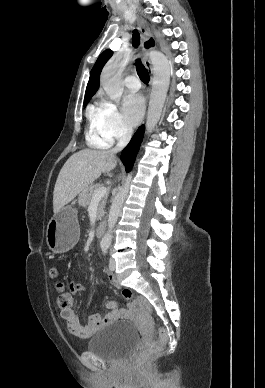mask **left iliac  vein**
I'll return each instance as SVG.
<instances>
[{"mask_svg": "<svg viewBox=\"0 0 265 388\" xmlns=\"http://www.w3.org/2000/svg\"><path fill=\"white\" fill-rule=\"evenodd\" d=\"M109 269L111 270V271H114L115 270V261H114V259H110V261H109Z\"/></svg>", "mask_w": 265, "mask_h": 388, "instance_id": "left-iliac-vein-1", "label": "left iliac vein"}]
</instances>
